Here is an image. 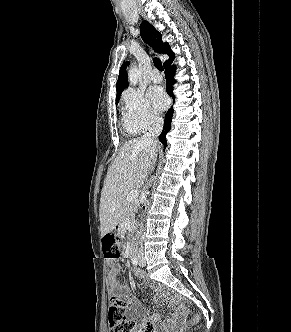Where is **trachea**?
<instances>
[{
    "instance_id": "trachea-1",
    "label": "trachea",
    "mask_w": 291,
    "mask_h": 332,
    "mask_svg": "<svg viewBox=\"0 0 291 332\" xmlns=\"http://www.w3.org/2000/svg\"><path fill=\"white\" fill-rule=\"evenodd\" d=\"M153 62H154V65H155V67H156L157 69H159V70H161V71L164 70V69H163V66H162V62H161V60H160L159 58H154V59H153Z\"/></svg>"
}]
</instances>
